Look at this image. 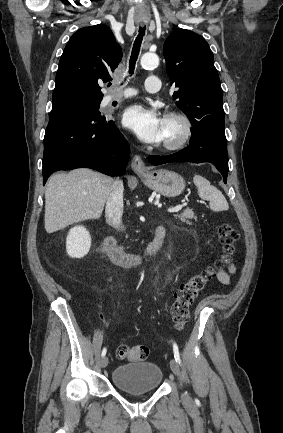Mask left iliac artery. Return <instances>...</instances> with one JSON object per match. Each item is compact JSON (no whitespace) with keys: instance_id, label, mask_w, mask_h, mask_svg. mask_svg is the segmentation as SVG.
<instances>
[{"instance_id":"44dca946","label":"left iliac artery","mask_w":283,"mask_h":433,"mask_svg":"<svg viewBox=\"0 0 283 433\" xmlns=\"http://www.w3.org/2000/svg\"><path fill=\"white\" fill-rule=\"evenodd\" d=\"M173 352H174V358H175L176 362H178L179 364H181L179 350H178V347H177L176 343L173 344Z\"/></svg>"}]
</instances>
